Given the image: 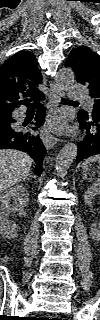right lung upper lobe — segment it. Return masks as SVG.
Instances as JSON below:
<instances>
[{"label": "right lung upper lobe", "mask_w": 100, "mask_h": 320, "mask_svg": "<svg viewBox=\"0 0 100 320\" xmlns=\"http://www.w3.org/2000/svg\"><path fill=\"white\" fill-rule=\"evenodd\" d=\"M41 83L33 53L20 51L6 60L0 66V121L10 118L19 105H27L42 95L37 89Z\"/></svg>", "instance_id": "obj_1"}]
</instances>
